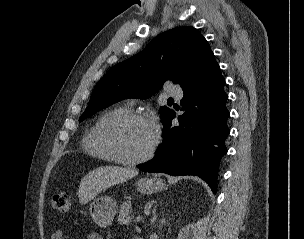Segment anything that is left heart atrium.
<instances>
[{
  "label": "left heart atrium",
  "mask_w": 304,
  "mask_h": 239,
  "mask_svg": "<svg viewBox=\"0 0 304 239\" xmlns=\"http://www.w3.org/2000/svg\"><path fill=\"white\" fill-rule=\"evenodd\" d=\"M149 124H150L151 130L153 131V133L154 134L157 133V129H158L157 123L155 121H152Z\"/></svg>",
  "instance_id": "left-heart-atrium-1"
}]
</instances>
